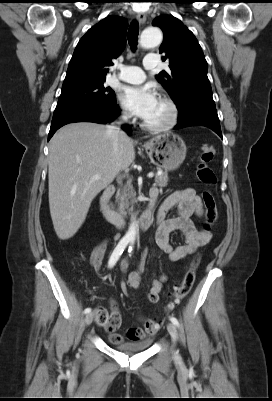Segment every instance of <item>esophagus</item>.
<instances>
[{"instance_id":"34e87169","label":"esophagus","mask_w":272,"mask_h":401,"mask_svg":"<svg viewBox=\"0 0 272 401\" xmlns=\"http://www.w3.org/2000/svg\"><path fill=\"white\" fill-rule=\"evenodd\" d=\"M136 18L140 24H144L146 21V14L143 12H138Z\"/></svg>"}]
</instances>
